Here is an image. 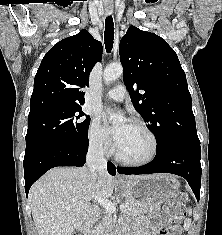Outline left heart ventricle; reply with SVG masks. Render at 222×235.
Instances as JSON below:
<instances>
[{
    "mask_svg": "<svg viewBox=\"0 0 222 235\" xmlns=\"http://www.w3.org/2000/svg\"><path fill=\"white\" fill-rule=\"evenodd\" d=\"M120 154L129 160H144L153 151L151 137L141 128L128 124L122 141L117 145Z\"/></svg>",
    "mask_w": 222,
    "mask_h": 235,
    "instance_id": "1",
    "label": "left heart ventricle"
}]
</instances>
